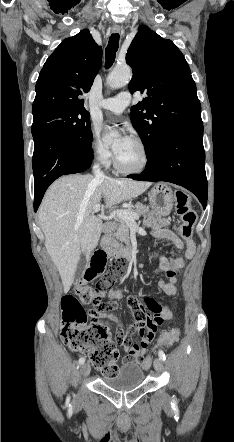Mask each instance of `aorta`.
<instances>
[{"label":"aorta","instance_id":"1","mask_svg":"<svg viewBox=\"0 0 234 442\" xmlns=\"http://www.w3.org/2000/svg\"><path fill=\"white\" fill-rule=\"evenodd\" d=\"M132 77V71L129 66L116 67L107 77V85L112 89H117L128 84ZM114 134H105L104 142L111 143L113 141Z\"/></svg>","mask_w":234,"mask_h":442}]
</instances>
